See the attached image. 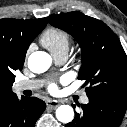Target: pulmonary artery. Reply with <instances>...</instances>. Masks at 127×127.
I'll return each mask as SVG.
<instances>
[{
    "label": "pulmonary artery",
    "instance_id": "e3ab8cb5",
    "mask_svg": "<svg viewBox=\"0 0 127 127\" xmlns=\"http://www.w3.org/2000/svg\"><path fill=\"white\" fill-rule=\"evenodd\" d=\"M54 58L58 64H62L66 61L67 54L63 53V54L55 56ZM42 84H43L42 80H22L16 83L15 90L16 91L35 90L40 88ZM80 100L83 104H86L88 102L87 95L83 94Z\"/></svg>",
    "mask_w": 127,
    "mask_h": 127
}]
</instances>
